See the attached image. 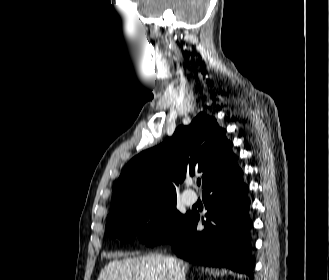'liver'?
<instances>
[{
  "instance_id": "obj_1",
  "label": "liver",
  "mask_w": 329,
  "mask_h": 280,
  "mask_svg": "<svg viewBox=\"0 0 329 280\" xmlns=\"http://www.w3.org/2000/svg\"><path fill=\"white\" fill-rule=\"evenodd\" d=\"M185 274L188 264L175 259ZM98 280H174L168 257L150 254L109 262L99 274Z\"/></svg>"
}]
</instances>
